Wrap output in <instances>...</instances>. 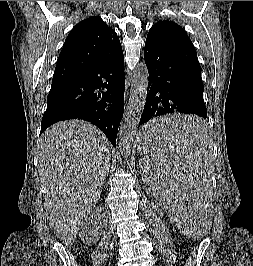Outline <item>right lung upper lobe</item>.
<instances>
[{"instance_id":"cb5924a9","label":"right lung upper lobe","mask_w":253,"mask_h":266,"mask_svg":"<svg viewBox=\"0 0 253 266\" xmlns=\"http://www.w3.org/2000/svg\"><path fill=\"white\" fill-rule=\"evenodd\" d=\"M123 54L120 40L99 16L79 22L65 40L52 86L103 66Z\"/></svg>"}]
</instances>
